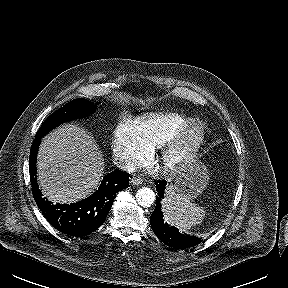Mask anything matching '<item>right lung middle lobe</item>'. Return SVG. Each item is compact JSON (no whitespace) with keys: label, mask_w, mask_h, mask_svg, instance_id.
<instances>
[{"label":"right lung middle lobe","mask_w":288,"mask_h":288,"mask_svg":"<svg viewBox=\"0 0 288 288\" xmlns=\"http://www.w3.org/2000/svg\"><path fill=\"white\" fill-rule=\"evenodd\" d=\"M97 109V104H93L86 99H74L58 109L49 116L38 130L36 137H43L58 125L90 115Z\"/></svg>","instance_id":"dd1d6c3e"}]
</instances>
